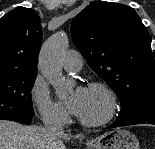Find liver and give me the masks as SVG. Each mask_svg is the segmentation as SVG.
I'll use <instances>...</instances> for the list:
<instances>
[{
  "instance_id": "obj_1",
  "label": "liver",
  "mask_w": 155,
  "mask_h": 149,
  "mask_svg": "<svg viewBox=\"0 0 155 149\" xmlns=\"http://www.w3.org/2000/svg\"><path fill=\"white\" fill-rule=\"evenodd\" d=\"M69 138L64 133L53 138L43 127L0 120V149H66L63 140Z\"/></svg>"
}]
</instances>
